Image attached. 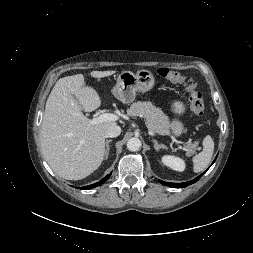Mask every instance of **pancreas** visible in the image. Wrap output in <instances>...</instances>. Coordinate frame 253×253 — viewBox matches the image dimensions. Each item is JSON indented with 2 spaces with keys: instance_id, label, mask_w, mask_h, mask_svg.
<instances>
[{
  "instance_id": "cf45deb5",
  "label": "pancreas",
  "mask_w": 253,
  "mask_h": 253,
  "mask_svg": "<svg viewBox=\"0 0 253 253\" xmlns=\"http://www.w3.org/2000/svg\"><path fill=\"white\" fill-rule=\"evenodd\" d=\"M127 114L131 117L142 116L146 120L148 129L159 134H168L170 122L168 117L160 108H156L151 102H135L127 110ZM197 144L188 143V154L193 153Z\"/></svg>"
}]
</instances>
